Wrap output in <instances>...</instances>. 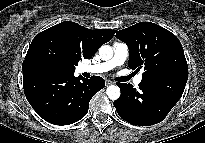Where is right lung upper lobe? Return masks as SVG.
I'll list each match as a JSON object with an SVG mask.
<instances>
[{"label": "right lung upper lobe", "mask_w": 205, "mask_h": 143, "mask_svg": "<svg viewBox=\"0 0 205 143\" xmlns=\"http://www.w3.org/2000/svg\"><path fill=\"white\" fill-rule=\"evenodd\" d=\"M43 32L62 35L76 48L81 59H90L101 45L108 42L114 36L116 30H91L75 22L64 21Z\"/></svg>", "instance_id": "right-lung-upper-lobe-1"}]
</instances>
